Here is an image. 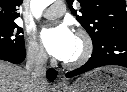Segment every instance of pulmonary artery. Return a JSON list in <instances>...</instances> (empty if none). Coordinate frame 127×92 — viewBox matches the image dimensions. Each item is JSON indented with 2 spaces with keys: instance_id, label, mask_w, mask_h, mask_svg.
I'll use <instances>...</instances> for the list:
<instances>
[{
  "instance_id": "1",
  "label": "pulmonary artery",
  "mask_w": 127,
  "mask_h": 92,
  "mask_svg": "<svg viewBox=\"0 0 127 92\" xmlns=\"http://www.w3.org/2000/svg\"><path fill=\"white\" fill-rule=\"evenodd\" d=\"M65 12V5L62 1H54L52 5L44 11L43 16L48 19L57 18Z\"/></svg>"
}]
</instances>
